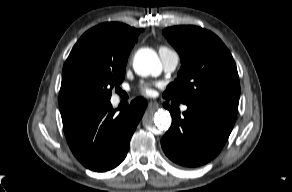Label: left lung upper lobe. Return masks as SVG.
Masks as SVG:
<instances>
[{
    "label": "left lung upper lobe",
    "instance_id": "1",
    "mask_svg": "<svg viewBox=\"0 0 292 192\" xmlns=\"http://www.w3.org/2000/svg\"><path fill=\"white\" fill-rule=\"evenodd\" d=\"M181 58L178 79L163 96L186 105H220L238 109L240 84L232 55L212 32L196 26L163 31Z\"/></svg>",
    "mask_w": 292,
    "mask_h": 192
}]
</instances>
